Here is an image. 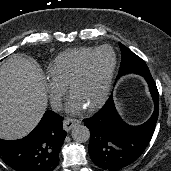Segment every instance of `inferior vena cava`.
Returning <instances> with one entry per match:
<instances>
[{"label":"inferior vena cava","mask_w":171,"mask_h":171,"mask_svg":"<svg viewBox=\"0 0 171 171\" xmlns=\"http://www.w3.org/2000/svg\"><path fill=\"white\" fill-rule=\"evenodd\" d=\"M51 107L55 110V111H60L62 109V103L59 99L54 100L51 102Z\"/></svg>","instance_id":"602c4592"}]
</instances>
